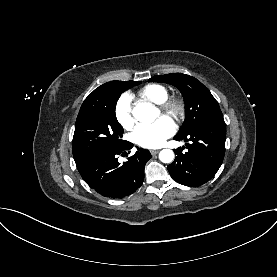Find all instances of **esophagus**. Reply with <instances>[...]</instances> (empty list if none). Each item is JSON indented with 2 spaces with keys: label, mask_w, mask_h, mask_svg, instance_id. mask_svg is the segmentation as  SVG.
<instances>
[{
  "label": "esophagus",
  "mask_w": 277,
  "mask_h": 277,
  "mask_svg": "<svg viewBox=\"0 0 277 277\" xmlns=\"http://www.w3.org/2000/svg\"><path fill=\"white\" fill-rule=\"evenodd\" d=\"M159 152V150H150V153L152 154V155H155V154H157Z\"/></svg>",
  "instance_id": "obj_1"
}]
</instances>
